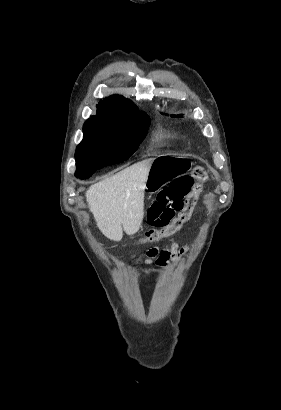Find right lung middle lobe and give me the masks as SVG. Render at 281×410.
<instances>
[{
    "label": "right lung middle lobe",
    "instance_id": "right-lung-middle-lobe-1",
    "mask_svg": "<svg viewBox=\"0 0 281 410\" xmlns=\"http://www.w3.org/2000/svg\"><path fill=\"white\" fill-rule=\"evenodd\" d=\"M149 125L148 116L127 122L88 119L76 148L75 176L85 179L97 169L127 160L145 138Z\"/></svg>",
    "mask_w": 281,
    "mask_h": 410
}]
</instances>
